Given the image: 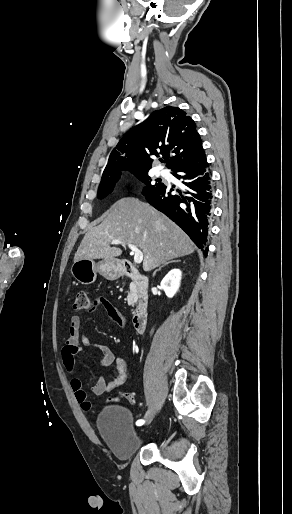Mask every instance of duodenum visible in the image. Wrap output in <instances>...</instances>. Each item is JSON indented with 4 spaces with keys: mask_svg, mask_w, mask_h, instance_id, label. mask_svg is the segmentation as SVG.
<instances>
[{
    "mask_svg": "<svg viewBox=\"0 0 292 514\" xmlns=\"http://www.w3.org/2000/svg\"><path fill=\"white\" fill-rule=\"evenodd\" d=\"M123 275L130 278L134 284L137 301L133 314V327L136 332H141L148 320L149 279L131 263L126 264Z\"/></svg>",
    "mask_w": 292,
    "mask_h": 514,
    "instance_id": "410a0bca",
    "label": "duodenum"
}]
</instances>
